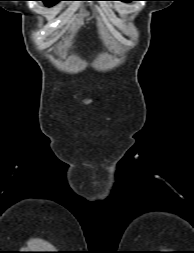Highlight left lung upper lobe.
I'll use <instances>...</instances> for the list:
<instances>
[{
    "label": "left lung upper lobe",
    "instance_id": "1",
    "mask_svg": "<svg viewBox=\"0 0 194 253\" xmlns=\"http://www.w3.org/2000/svg\"><path fill=\"white\" fill-rule=\"evenodd\" d=\"M123 2H131V1H138V0H121Z\"/></svg>",
    "mask_w": 194,
    "mask_h": 253
}]
</instances>
